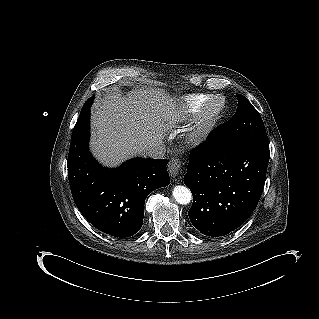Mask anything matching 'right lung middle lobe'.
<instances>
[{
	"mask_svg": "<svg viewBox=\"0 0 319 319\" xmlns=\"http://www.w3.org/2000/svg\"><path fill=\"white\" fill-rule=\"evenodd\" d=\"M93 99H94V97H91L85 102V104H84V106H83V108L81 110L80 115L83 114L91 106V103L93 102Z\"/></svg>",
	"mask_w": 319,
	"mask_h": 319,
	"instance_id": "right-lung-middle-lobe-1",
	"label": "right lung middle lobe"
}]
</instances>
